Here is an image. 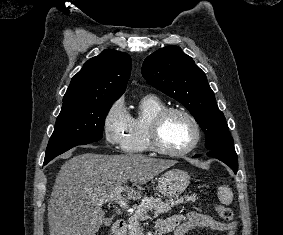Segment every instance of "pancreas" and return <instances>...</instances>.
Returning <instances> with one entry per match:
<instances>
[{
  "instance_id": "pancreas-1",
  "label": "pancreas",
  "mask_w": 283,
  "mask_h": 235,
  "mask_svg": "<svg viewBox=\"0 0 283 235\" xmlns=\"http://www.w3.org/2000/svg\"><path fill=\"white\" fill-rule=\"evenodd\" d=\"M196 200L197 198L195 195H186L181 198L170 199L166 201L153 196L144 197L137 206L135 213L128 219V235H143V229L140 221L142 217L147 214V212L154 210L155 215L163 214L171 210V207H174L180 203L195 202Z\"/></svg>"
}]
</instances>
